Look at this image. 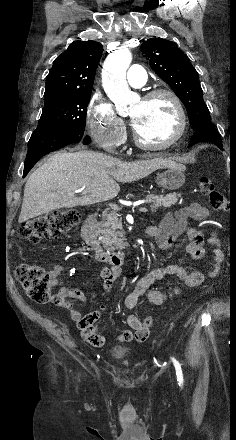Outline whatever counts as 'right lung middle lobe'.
I'll list each match as a JSON object with an SVG mask.
<instances>
[{"mask_svg":"<svg viewBox=\"0 0 236 440\" xmlns=\"http://www.w3.org/2000/svg\"><path fill=\"white\" fill-rule=\"evenodd\" d=\"M91 93L47 102L35 131H78L84 133Z\"/></svg>","mask_w":236,"mask_h":440,"instance_id":"right-lung-middle-lobe-1","label":"right lung middle lobe"}]
</instances>
